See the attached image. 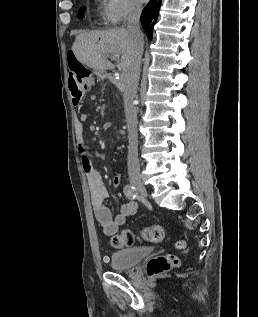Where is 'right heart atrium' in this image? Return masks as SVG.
Here are the masks:
<instances>
[{
  "label": "right heart atrium",
  "mask_w": 258,
  "mask_h": 317,
  "mask_svg": "<svg viewBox=\"0 0 258 317\" xmlns=\"http://www.w3.org/2000/svg\"><path fill=\"white\" fill-rule=\"evenodd\" d=\"M139 9L135 0H107L103 10V18L107 25L122 26Z\"/></svg>",
  "instance_id": "obj_1"
}]
</instances>
